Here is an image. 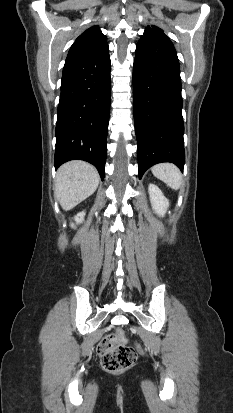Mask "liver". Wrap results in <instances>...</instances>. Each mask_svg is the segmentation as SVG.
I'll use <instances>...</instances> for the list:
<instances>
[{
	"label": "liver",
	"instance_id": "6515ba94",
	"mask_svg": "<svg viewBox=\"0 0 233 413\" xmlns=\"http://www.w3.org/2000/svg\"><path fill=\"white\" fill-rule=\"evenodd\" d=\"M100 178L94 166L73 160L63 164L57 171L55 195L64 210H71L98 187Z\"/></svg>",
	"mask_w": 233,
	"mask_h": 413
}]
</instances>
